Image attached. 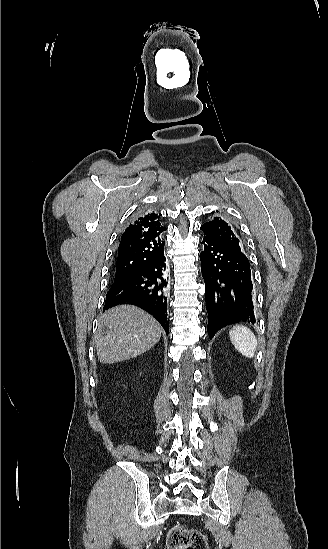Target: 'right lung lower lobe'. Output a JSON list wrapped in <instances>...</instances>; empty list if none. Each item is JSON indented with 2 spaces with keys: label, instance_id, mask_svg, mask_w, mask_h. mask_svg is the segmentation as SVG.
I'll return each mask as SVG.
<instances>
[{
  "label": "right lung lower lobe",
  "instance_id": "right-lung-lower-lobe-1",
  "mask_svg": "<svg viewBox=\"0 0 328 549\" xmlns=\"http://www.w3.org/2000/svg\"><path fill=\"white\" fill-rule=\"evenodd\" d=\"M165 261L163 251L135 275L112 284L104 310L119 304H133L153 315L168 334Z\"/></svg>",
  "mask_w": 328,
  "mask_h": 549
}]
</instances>
